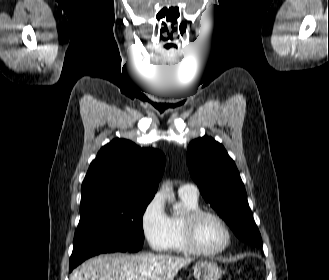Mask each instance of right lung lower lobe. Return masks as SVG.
I'll list each match as a JSON object with an SVG mask.
<instances>
[{
	"label": "right lung lower lobe",
	"instance_id": "obj_1",
	"mask_svg": "<svg viewBox=\"0 0 329 280\" xmlns=\"http://www.w3.org/2000/svg\"><path fill=\"white\" fill-rule=\"evenodd\" d=\"M111 252H118V251L117 250H113V249H104V250H100V251H97L95 253L89 254L85 258H83L81 261H79L78 263H76L73 267H70L69 268V271L71 272L77 265H79L84 260H86V259H88V258H90L92 256H95V255H98V254H102V253H111Z\"/></svg>",
	"mask_w": 329,
	"mask_h": 280
}]
</instances>
